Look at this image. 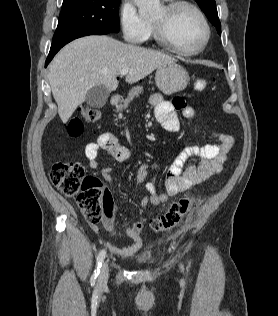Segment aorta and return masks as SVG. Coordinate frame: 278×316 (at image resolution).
I'll return each mask as SVG.
<instances>
[{
	"label": "aorta",
	"instance_id": "762f6f07",
	"mask_svg": "<svg viewBox=\"0 0 278 316\" xmlns=\"http://www.w3.org/2000/svg\"><path fill=\"white\" fill-rule=\"evenodd\" d=\"M138 6L139 15L141 17H149L159 12L160 0H133Z\"/></svg>",
	"mask_w": 278,
	"mask_h": 316
}]
</instances>
